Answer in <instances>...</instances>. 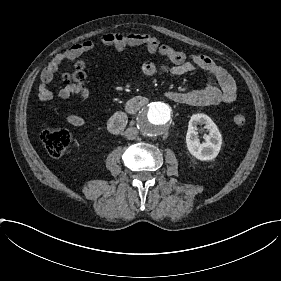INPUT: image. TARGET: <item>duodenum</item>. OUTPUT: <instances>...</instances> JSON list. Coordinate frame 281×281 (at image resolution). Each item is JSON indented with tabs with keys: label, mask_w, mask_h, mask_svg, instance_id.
<instances>
[{
	"label": "duodenum",
	"mask_w": 281,
	"mask_h": 281,
	"mask_svg": "<svg viewBox=\"0 0 281 281\" xmlns=\"http://www.w3.org/2000/svg\"><path fill=\"white\" fill-rule=\"evenodd\" d=\"M148 103V99L143 96H135L127 101L123 110L115 112L108 122V129L114 134L124 130L128 123V116L137 113Z\"/></svg>",
	"instance_id": "obj_1"
}]
</instances>
